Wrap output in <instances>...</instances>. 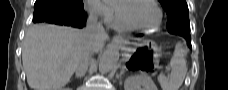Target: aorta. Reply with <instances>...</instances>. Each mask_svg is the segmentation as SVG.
I'll use <instances>...</instances> for the list:
<instances>
[{"label": "aorta", "mask_w": 228, "mask_h": 90, "mask_svg": "<svg viewBox=\"0 0 228 90\" xmlns=\"http://www.w3.org/2000/svg\"><path fill=\"white\" fill-rule=\"evenodd\" d=\"M119 60V48L115 43L108 45L99 61V70L105 74L112 71Z\"/></svg>", "instance_id": "obj_1"}]
</instances>
